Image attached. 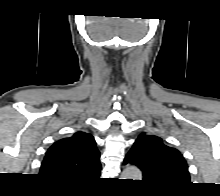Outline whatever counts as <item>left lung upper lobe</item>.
I'll list each match as a JSON object with an SVG mask.
<instances>
[{
    "label": "left lung upper lobe",
    "mask_w": 220,
    "mask_h": 196,
    "mask_svg": "<svg viewBox=\"0 0 220 196\" xmlns=\"http://www.w3.org/2000/svg\"><path fill=\"white\" fill-rule=\"evenodd\" d=\"M128 163L136 165L143 172V181L158 192L171 193L190 184L182 154L160 137L140 134L125 157L124 164Z\"/></svg>",
    "instance_id": "5c2ea615"
}]
</instances>
